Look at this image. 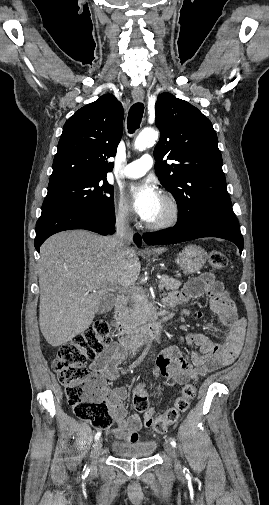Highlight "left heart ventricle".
<instances>
[{
    "label": "left heart ventricle",
    "instance_id": "obj_1",
    "mask_svg": "<svg viewBox=\"0 0 269 505\" xmlns=\"http://www.w3.org/2000/svg\"><path fill=\"white\" fill-rule=\"evenodd\" d=\"M169 213H170V209H169L168 204L161 198L156 210L154 211L153 215L150 217L148 222L161 221V220L167 218Z\"/></svg>",
    "mask_w": 269,
    "mask_h": 505
}]
</instances>
